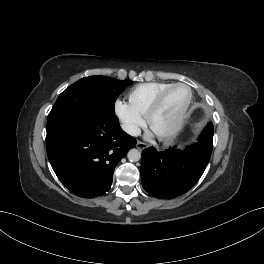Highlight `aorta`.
Wrapping results in <instances>:
<instances>
[{
    "mask_svg": "<svg viewBox=\"0 0 264 264\" xmlns=\"http://www.w3.org/2000/svg\"><path fill=\"white\" fill-rule=\"evenodd\" d=\"M127 157L128 159L131 161V162H136V161H139L140 158H141V153L139 150L137 149H131L128 154H127Z\"/></svg>",
    "mask_w": 264,
    "mask_h": 264,
    "instance_id": "aorta-1",
    "label": "aorta"
}]
</instances>
